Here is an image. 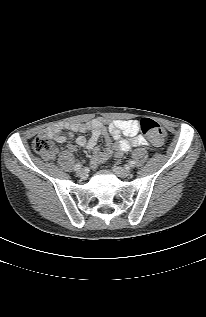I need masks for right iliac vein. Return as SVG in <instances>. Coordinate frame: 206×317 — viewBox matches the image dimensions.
<instances>
[{"instance_id":"obj_1","label":"right iliac vein","mask_w":206,"mask_h":317,"mask_svg":"<svg viewBox=\"0 0 206 317\" xmlns=\"http://www.w3.org/2000/svg\"><path fill=\"white\" fill-rule=\"evenodd\" d=\"M76 174H77V176H79L81 178H86L87 177V173L83 169L77 170Z\"/></svg>"}]
</instances>
